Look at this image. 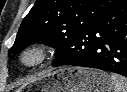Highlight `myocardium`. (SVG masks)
Returning a JSON list of instances; mask_svg holds the SVG:
<instances>
[{
    "label": "myocardium",
    "mask_w": 127,
    "mask_h": 92,
    "mask_svg": "<svg viewBox=\"0 0 127 92\" xmlns=\"http://www.w3.org/2000/svg\"><path fill=\"white\" fill-rule=\"evenodd\" d=\"M50 56L51 50L46 44H33L19 53L18 61L24 68L32 69L46 63Z\"/></svg>",
    "instance_id": "f54148a6"
}]
</instances>
